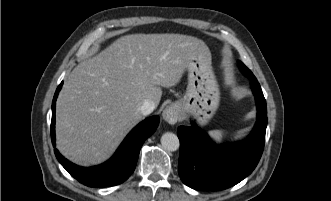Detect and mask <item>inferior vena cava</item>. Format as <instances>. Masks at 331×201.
<instances>
[{"label": "inferior vena cava", "instance_id": "602c4592", "mask_svg": "<svg viewBox=\"0 0 331 201\" xmlns=\"http://www.w3.org/2000/svg\"><path fill=\"white\" fill-rule=\"evenodd\" d=\"M155 109V104L154 102L150 101V100H145L140 108L141 113L146 116L149 115L150 113L153 112V110Z\"/></svg>", "mask_w": 331, "mask_h": 201}]
</instances>
